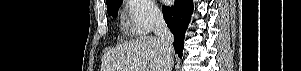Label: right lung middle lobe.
I'll use <instances>...</instances> for the list:
<instances>
[{"label": "right lung middle lobe", "instance_id": "1", "mask_svg": "<svg viewBox=\"0 0 301 71\" xmlns=\"http://www.w3.org/2000/svg\"><path fill=\"white\" fill-rule=\"evenodd\" d=\"M122 0H113L109 3H107V10H108V15L112 16L115 18L118 13V9L120 7Z\"/></svg>", "mask_w": 301, "mask_h": 71}]
</instances>
